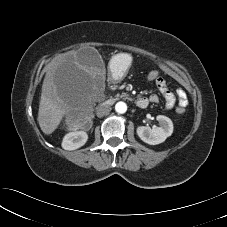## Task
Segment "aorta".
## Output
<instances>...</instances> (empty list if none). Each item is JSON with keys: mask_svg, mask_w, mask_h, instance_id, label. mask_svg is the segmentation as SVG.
<instances>
[{"mask_svg": "<svg viewBox=\"0 0 227 227\" xmlns=\"http://www.w3.org/2000/svg\"><path fill=\"white\" fill-rule=\"evenodd\" d=\"M115 111L117 113H120V114L125 113L127 111V105H126V103L125 102H122V101L116 103V105H115Z\"/></svg>", "mask_w": 227, "mask_h": 227, "instance_id": "aorta-1", "label": "aorta"}]
</instances>
